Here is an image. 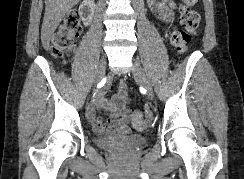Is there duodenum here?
<instances>
[{"instance_id": "1", "label": "duodenum", "mask_w": 244, "mask_h": 179, "mask_svg": "<svg viewBox=\"0 0 244 179\" xmlns=\"http://www.w3.org/2000/svg\"><path fill=\"white\" fill-rule=\"evenodd\" d=\"M95 2L92 0H85L80 8V13L83 19L91 21L94 14Z\"/></svg>"}]
</instances>
